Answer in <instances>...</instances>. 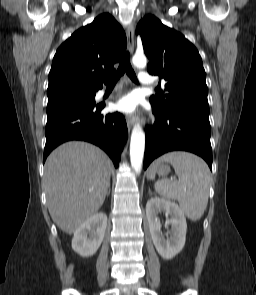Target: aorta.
<instances>
[{
	"instance_id": "obj_1",
	"label": "aorta",
	"mask_w": 256,
	"mask_h": 295,
	"mask_svg": "<svg viewBox=\"0 0 256 295\" xmlns=\"http://www.w3.org/2000/svg\"><path fill=\"white\" fill-rule=\"evenodd\" d=\"M137 68H145L147 65L146 57L143 54H135L132 59ZM145 149V134L140 123H137L131 134L130 160L132 168L136 173H140Z\"/></svg>"
}]
</instances>
